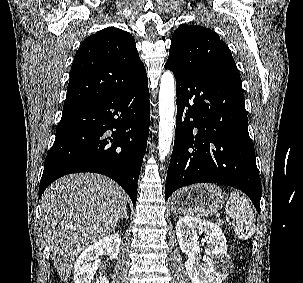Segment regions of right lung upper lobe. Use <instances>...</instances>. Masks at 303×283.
I'll return each instance as SVG.
<instances>
[{
    "label": "right lung upper lobe",
    "mask_w": 303,
    "mask_h": 283,
    "mask_svg": "<svg viewBox=\"0 0 303 283\" xmlns=\"http://www.w3.org/2000/svg\"><path fill=\"white\" fill-rule=\"evenodd\" d=\"M146 79L132 35L105 28L86 38L76 52L63 111L124 92Z\"/></svg>",
    "instance_id": "right-lung-upper-lobe-1"
}]
</instances>
